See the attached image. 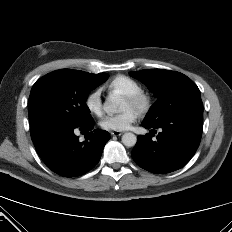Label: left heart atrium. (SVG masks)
Here are the masks:
<instances>
[{
	"instance_id": "1",
	"label": "left heart atrium",
	"mask_w": 232,
	"mask_h": 232,
	"mask_svg": "<svg viewBox=\"0 0 232 232\" xmlns=\"http://www.w3.org/2000/svg\"><path fill=\"white\" fill-rule=\"evenodd\" d=\"M137 118V111L130 108L120 114L105 117L100 125L105 130L121 132L130 129Z\"/></svg>"
}]
</instances>
